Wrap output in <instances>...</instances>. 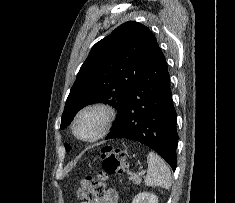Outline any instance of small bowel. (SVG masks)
Listing matches in <instances>:
<instances>
[{
	"instance_id": "c3829d8e",
	"label": "small bowel",
	"mask_w": 235,
	"mask_h": 203,
	"mask_svg": "<svg viewBox=\"0 0 235 203\" xmlns=\"http://www.w3.org/2000/svg\"><path fill=\"white\" fill-rule=\"evenodd\" d=\"M118 192L115 188H108L105 190L104 195L101 198L88 201L86 203H118Z\"/></svg>"
}]
</instances>
